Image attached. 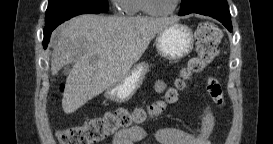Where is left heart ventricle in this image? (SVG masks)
Listing matches in <instances>:
<instances>
[{"instance_id": "b2bd125f", "label": "left heart ventricle", "mask_w": 273, "mask_h": 144, "mask_svg": "<svg viewBox=\"0 0 273 144\" xmlns=\"http://www.w3.org/2000/svg\"><path fill=\"white\" fill-rule=\"evenodd\" d=\"M175 0H150V6L156 10H168L170 9Z\"/></svg>"}]
</instances>
